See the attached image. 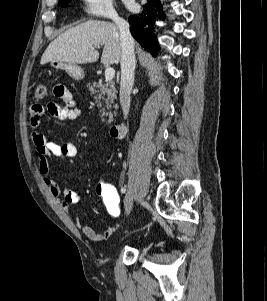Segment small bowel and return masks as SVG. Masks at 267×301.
<instances>
[{
  "label": "small bowel",
  "mask_w": 267,
  "mask_h": 301,
  "mask_svg": "<svg viewBox=\"0 0 267 301\" xmlns=\"http://www.w3.org/2000/svg\"><path fill=\"white\" fill-rule=\"evenodd\" d=\"M53 96L59 99L62 104L56 102H49L46 107L41 104L34 103L29 108L28 121L32 128V141L37 152V163L40 175L43 182L48 187L51 194L59 197L61 205L66 212H70L73 205L77 204L80 200L79 194L73 190L70 185H67L62 191L53 181L49 172V158L59 157L73 161L77 154V148L73 143L58 144L48 140L40 131L39 125L41 117L47 112L51 117L61 121L76 119L80 111L76 107L70 90L62 84H58L53 88ZM75 226L82 231L88 239L101 242L109 239L117 230V226L110 227L103 232H97L92 226L85 223L80 217L76 216L74 220Z\"/></svg>",
  "instance_id": "c3829d8e"
}]
</instances>
